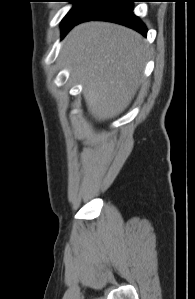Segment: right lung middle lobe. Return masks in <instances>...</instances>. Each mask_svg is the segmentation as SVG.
<instances>
[{"instance_id": "1", "label": "right lung middle lobe", "mask_w": 195, "mask_h": 299, "mask_svg": "<svg viewBox=\"0 0 195 299\" xmlns=\"http://www.w3.org/2000/svg\"><path fill=\"white\" fill-rule=\"evenodd\" d=\"M95 0H74L75 5L61 23L62 33L68 26L78 20Z\"/></svg>"}]
</instances>
